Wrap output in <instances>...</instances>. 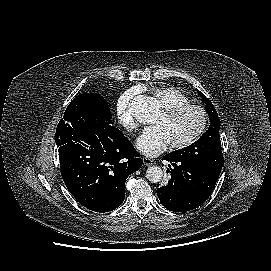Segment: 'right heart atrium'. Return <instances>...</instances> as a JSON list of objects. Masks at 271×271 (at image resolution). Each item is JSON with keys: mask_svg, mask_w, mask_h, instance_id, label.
I'll use <instances>...</instances> for the list:
<instances>
[{"mask_svg": "<svg viewBox=\"0 0 271 271\" xmlns=\"http://www.w3.org/2000/svg\"><path fill=\"white\" fill-rule=\"evenodd\" d=\"M138 93V88H131L122 93L116 103L117 119L127 131H132L137 128V123L133 116L131 107L133 101L138 96Z\"/></svg>", "mask_w": 271, "mask_h": 271, "instance_id": "obj_1", "label": "right heart atrium"}]
</instances>
